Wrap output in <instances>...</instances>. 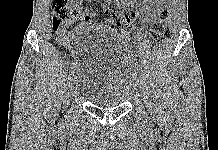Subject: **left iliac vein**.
I'll list each match as a JSON object with an SVG mask.
<instances>
[{
	"label": "left iliac vein",
	"instance_id": "obj_1",
	"mask_svg": "<svg viewBox=\"0 0 218 150\" xmlns=\"http://www.w3.org/2000/svg\"><path fill=\"white\" fill-rule=\"evenodd\" d=\"M135 80L131 82V85L136 89L138 85L142 82V77L141 76H136L134 78Z\"/></svg>",
	"mask_w": 218,
	"mask_h": 150
}]
</instances>
